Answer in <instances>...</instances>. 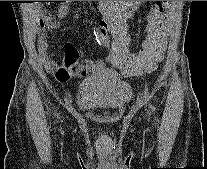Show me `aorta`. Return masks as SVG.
Returning <instances> with one entry per match:
<instances>
[{"label":"aorta","instance_id":"obj_1","mask_svg":"<svg viewBox=\"0 0 207 169\" xmlns=\"http://www.w3.org/2000/svg\"><path fill=\"white\" fill-rule=\"evenodd\" d=\"M136 1H112L111 9L113 11L125 10L124 7L135 4ZM130 4V5H129ZM123 8V9H122Z\"/></svg>","mask_w":207,"mask_h":169}]
</instances>
